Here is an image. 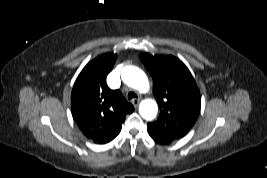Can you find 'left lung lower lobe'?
Instances as JSON below:
<instances>
[{
	"label": "left lung lower lobe",
	"mask_w": 267,
	"mask_h": 178,
	"mask_svg": "<svg viewBox=\"0 0 267 178\" xmlns=\"http://www.w3.org/2000/svg\"><path fill=\"white\" fill-rule=\"evenodd\" d=\"M150 135V134H149ZM151 136V135H150ZM151 138L154 140V141H156L157 143H160V144H163V142L161 141V140H159V139H157V138H155V137H153V136H151Z\"/></svg>",
	"instance_id": "obj_1"
}]
</instances>
